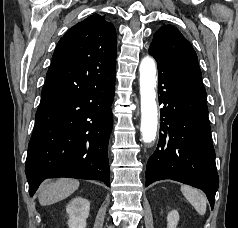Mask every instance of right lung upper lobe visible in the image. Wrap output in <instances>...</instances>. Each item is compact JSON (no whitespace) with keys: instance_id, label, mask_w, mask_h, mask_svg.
<instances>
[{"instance_id":"cb5924a9","label":"right lung upper lobe","mask_w":238,"mask_h":228,"mask_svg":"<svg viewBox=\"0 0 238 228\" xmlns=\"http://www.w3.org/2000/svg\"><path fill=\"white\" fill-rule=\"evenodd\" d=\"M116 30L94 14L70 28L54 51L41 103L92 90L116 75Z\"/></svg>"}]
</instances>
